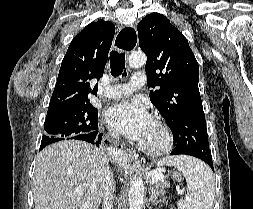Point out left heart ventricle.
<instances>
[{
	"mask_svg": "<svg viewBox=\"0 0 253 209\" xmlns=\"http://www.w3.org/2000/svg\"><path fill=\"white\" fill-rule=\"evenodd\" d=\"M163 142V134L160 127L154 122L145 139L141 142L148 147H158Z\"/></svg>",
	"mask_w": 253,
	"mask_h": 209,
	"instance_id": "b2bd125f",
	"label": "left heart ventricle"
}]
</instances>
